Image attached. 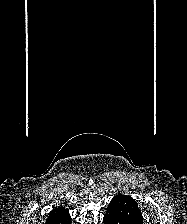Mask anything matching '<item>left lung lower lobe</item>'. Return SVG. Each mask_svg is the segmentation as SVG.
I'll use <instances>...</instances> for the list:
<instances>
[{
	"instance_id": "0a47b994",
	"label": "left lung lower lobe",
	"mask_w": 187,
	"mask_h": 224,
	"mask_svg": "<svg viewBox=\"0 0 187 224\" xmlns=\"http://www.w3.org/2000/svg\"><path fill=\"white\" fill-rule=\"evenodd\" d=\"M103 224H143V216L133 198L118 194L109 203Z\"/></svg>"
}]
</instances>
